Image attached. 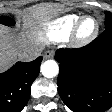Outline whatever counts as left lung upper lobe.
Wrapping results in <instances>:
<instances>
[{
    "label": "left lung upper lobe",
    "mask_w": 112,
    "mask_h": 112,
    "mask_svg": "<svg viewBox=\"0 0 112 112\" xmlns=\"http://www.w3.org/2000/svg\"><path fill=\"white\" fill-rule=\"evenodd\" d=\"M112 27V13L105 12V29Z\"/></svg>",
    "instance_id": "obj_1"
}]
</instances>
